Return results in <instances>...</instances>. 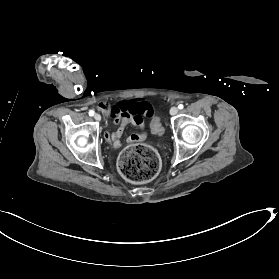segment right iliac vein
<instances>
[{
    "instance_id": "right-iliac-vein-1",
    "label": "right iliac vein",
    "mask_w": 279,
    "mask_h": 279,
    "mask_svg": "<svg viewBox=\"0 0 279 279\" xmlns=\"http://www.w3.org/2000/svg\"><path fill=\"white\" fill-rule=\"evenodd\" d=\"M94 119L97 120V121H100V120H101L100 114L96 113V114L94 115Z\"/></svg>"
}]
</instances>
